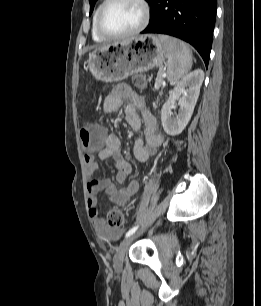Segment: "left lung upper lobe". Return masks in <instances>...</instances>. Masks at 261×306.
Returning <instances> with one entry per match:
<instances>
[{
	"instance_id": "obj_1",
	"label": "left lung upper lobe",
	"mask_w": 261,
	"mask_h": 306,
	"mask_svg": "<svg viewBox=\"0 0 261 306\" xmlns=\"http://www.w3.org/2000/svg\"><path fill=\"white\" fill-rule=\"evenodd\" d=\"M97 0H89V3H90V15L93 11V8H94V5L96 3ZM149 4L151 3L152 0H146Z\"/></svg>"
}]
</instances>
